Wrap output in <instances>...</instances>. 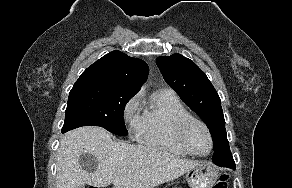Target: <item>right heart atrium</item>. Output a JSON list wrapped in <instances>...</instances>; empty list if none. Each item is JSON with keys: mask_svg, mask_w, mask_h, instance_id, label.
<instances>
[{"mask_svg": "<svg viewBox=\"0 0 292 188\" xmlns=\"http://www.w3.org/2000/svg\"><path fill=\"white\" fill-rule=\"evenodd\" d=\"M138 109L139 97L138 95H136L132 97L124 107V117L132 125L133 128H135L139 119Z\"/></svg>", "mask_w": 292, "mask_h": 188, "instance_id": "right-heart-atrium-1", "label": "right heart atrium"}]
</instances>
